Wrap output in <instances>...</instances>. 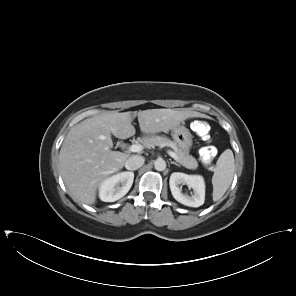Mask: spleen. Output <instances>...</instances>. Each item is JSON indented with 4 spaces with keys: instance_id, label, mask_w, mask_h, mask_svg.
<instances>
[{
    "instance_id": "3e777b00",
    "label": "spleen",
    "mask_w": 296,
    "mask_h": 296,
    "mask_svg": "<svg viewBox=\"0 0 296 296\" xmlns=\"http://www.w3.org/2000/svg\"><path fill=\"white\" fill-rule=\"evenodd\" d=\"M235 169L234 155L231 149L225 150L217 160L212 177L213 201L220 200L229 188Z\"/></svg>"
}]
</instances>
